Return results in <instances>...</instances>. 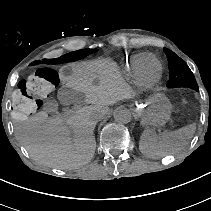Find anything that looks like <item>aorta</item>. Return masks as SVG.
I'll list each match as a JSON object with an SVG mask.
<instances>
[{"label": "aorta", "mask_w": 211, "mask_h": 211, "mask_svg": "<svg viewBox=\"0 0 211 211\" xmlns=\"http://www.w3.org/2000/svg\"><path fill=\"white\" fill-rule=\"evenodd\" d=\"M113 117L117 123L127 124L132 119V113L128 108L118 107L114 110Z\"/></svg>", "instance_id": "obj_1"}]
</instances>
